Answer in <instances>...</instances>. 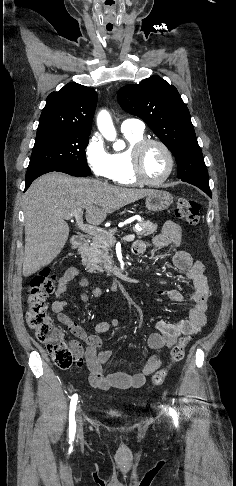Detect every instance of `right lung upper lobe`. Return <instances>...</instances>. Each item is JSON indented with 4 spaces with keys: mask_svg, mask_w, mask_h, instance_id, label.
<instances>
[{
    "mask_svg": "<svg viewBox=\"0 0 236 486\" xmlns=\"http://www.w3.org/2000/svg\"><path fill=\"white\" fill-rule=\"evenodd\" d=\"M97 105V93L86 86L68 83L52 92L39 119L38 130L61 129L90 132Z\"/></svg>",
    "mask_w": 236,
    "mask_h": 486,
    "instance_id": "1",
    "label": "right lung upper lobe"
}]
</instances>
